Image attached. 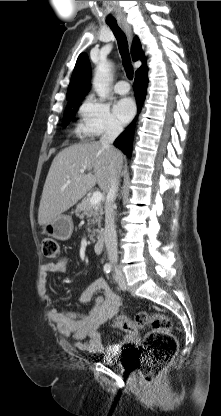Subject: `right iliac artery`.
I'll list each match as a JSON object with an SVG mask.
<instances>
[{"label": "right iliac artery", "mask_w": 221, "mask_h": 416, "mask_svg": "<svg viewBox=\"0 0 221 416\" xmlns=\"http://www.w3.org/2000/svg\"><path fill=\"white\" fill-rule=\"evenodd\" d=\"M112 269V266L110 264H105L104 265V272L105 273H110Z\"/></svg>", "instance_id": "82829eb1"}]
</instances>
